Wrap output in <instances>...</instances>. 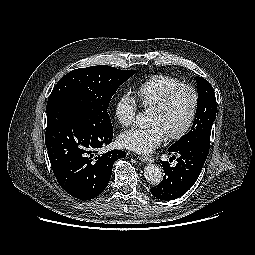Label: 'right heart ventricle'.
Returning a JSON list of instances; mask_svg holds the SVG:
<instances>
[{
  "label": "right heart ventricle",
  "mask_w": 255,
  "mask_h": 255,
  "mask_svg": "<svg viewBox=\"0 0 255 255\" xmlns=\"http://www.w3.org/2000/svg\"><path fill=\"white\" fill-rule=\"evenodd\" d=\"M179 84L180 80L175 77L153 75L136 87L135 96L143 108H152L167 91Z\"/></svg>",
  "instance_id": "right-heart-ventricle-1"
}]
</instances>
